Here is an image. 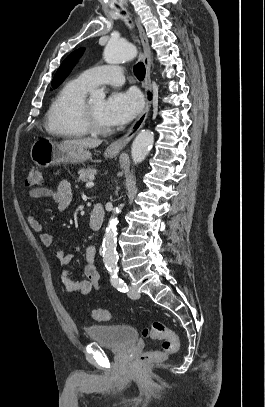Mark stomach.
Returning <instances> with one entry per match:
<instances>
[{
	"mask_svg": "<svg viewBox=\"0 0 265 407\" xmlns=\"http://www.w3.org/2000/svg\"><path fill=\"white\" fill-rule=\"evenodd\" d=\"M118 152L106 149L104 155L116 157ZM31 160L40 167H49L60 163H81L92 157L91 152L84 147L64 145L50 139L36 140L30 150Z\"/></svg>",
	"mask_w": 265,
	"mask_h": 407,
	"instance_id": "0dacf381",
	"label": "stomach"
}]
</instances>
